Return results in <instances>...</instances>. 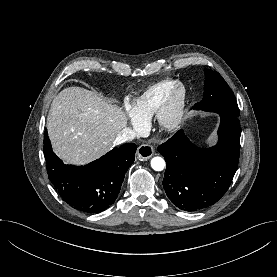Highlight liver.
I'll use <instances>...</instances> for the list:
<instances>
[{"label":"liver","mask_w":277,"mask_h":277,"mask_svg":"<svg viewBox=\"0 0 277 277\" xmlns=\"http://www.w3.org/2000/svg\"><path fill=\"white\" fill-rule=\"evenodd\" d=\"M128 119L123 110L81 87H68L52 101L47 131L55 153L84 165L108 152Z\"/></svg>","instance_id":"liver-1"}]
</instances>
